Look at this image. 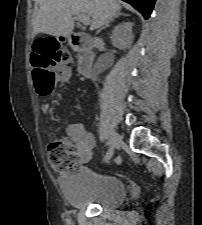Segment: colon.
<instances>
[{
    "mask_svg": "<svg viewBox=\"0 0 202 225\" xmlns=\"http://www.w3.org/2000/svg\"><path fill=\"white\" fill-rule=\"evenodd\" d=\"M33 78L36 92L42 97L54 93L56 74L53 68H60L69 61V53L56 47L53 40H40L32 46ZM48 162L53 170L66 176L78 168L77 150L71 143L60 140L52 143L47 152ZM117 162H119L117 160Z\"/></svg>",
    "mask_w": 202,
    "mask_h": 225,
    "instance_id": "5ec220e1",
    "label": "colon"
}]
</instances>
